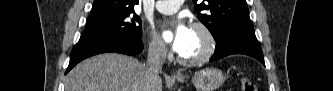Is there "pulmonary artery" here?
Returning a JSON list of instances; mask_svg holds the SVG:
<instances>
[{"instance_id":"e3ab8cb5","label":"pulmonary artery","mask_w":333,"mask_h":91,"mask_svg":"<svg viewBox=\"0 0 333 91\" xmlns=\"http://www.w3.org/2000/svg\"><path fill=\"white\" fill-rule=\"evenodd\" d=\"M182 1L161 0L156 2V9L163 14L175 13Z\"/></svg>"}]
</instances>
